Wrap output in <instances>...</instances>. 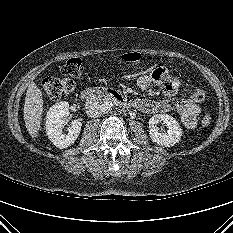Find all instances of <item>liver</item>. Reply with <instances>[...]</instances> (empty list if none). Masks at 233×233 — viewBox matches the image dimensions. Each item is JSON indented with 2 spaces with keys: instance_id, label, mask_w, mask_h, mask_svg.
<instances>
[{
  "instance_id": "1",
  "label": "liver",
  "mask_w": 233,
  "mask_h": 233,
  "mask_svg": "<svg viewBox=\"0 0 233 233\" xmlns=\"http://www.w3.org/2000/svg\"><path fill=\"white\" fill-rule=\"evenodd\" d=\"M43 104L42 92L37 85L32 82L29 84L26 92L23 110L25 126L32 138H36L40 130Z\"/></svg>"
}]
</instances>
